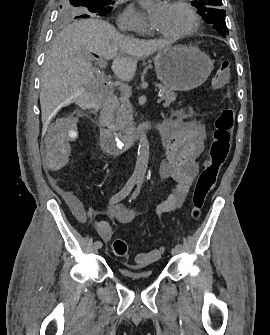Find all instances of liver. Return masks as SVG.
I'll return each mask as SVG.
<instances>
[{"mask_svg": "<svg viewBox=\"0 0 270 335\" xmlns=\"http://www.w3.org/2000/svg\"><path fill=\"white\" fill-rule=\"evenodd\" d=\"M168 46L167 40H138L122 36L112 24L98 18L68 24L57 34L44 60L40 86L43 122L53 118L56 110L70 104L71 100L80 106L85 104L86 96L98 88L99 80L93 76L92 62L84 56L87 52L113 60L114 74L128 82L137 70L138 58H148Z\"/></svg>", "mask_w": 270, "mask_h": 335, "instance_id": "obj_1", "label": "liver"}]
</instances>
